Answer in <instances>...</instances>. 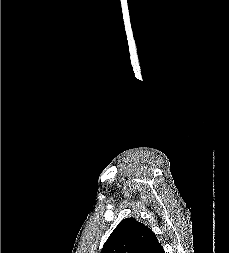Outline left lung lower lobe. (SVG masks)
<instances>
[{
	"label": "left lung lower lobe",
	"mask_w": 229,
	"mask_h": 253,
	"mask_svg": "<svg viewBox=\"0 0 229 253\" xmlns=\"http://www.w3.org/2000/svg\"><path fill=\"white\" fill-rule=\"evenodd\" d=\"M155 253H165V251L163 250L162 246L160 245V246L158 247V249L156 250Z\"/></svg>",
	"instance_id": "obj_1"
}]
</instances>
